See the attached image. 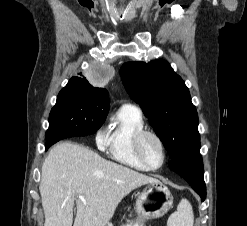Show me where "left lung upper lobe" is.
Returning a JSON list of instances; mask_svg holds the SVG:
<instances>
[{
	"instance_id": "left-lung-upper-lobe-1",
	"label": "left lung upper lobe",
	"mask_w": 247,
	"mask_h": 226,
	"mask_svg": "<svg viewBox=\"0 0 247 226\" xmlns=\"http://www.w3.org/2000/svg\"><path fill=\"white\" fill-rule=\"evenodd\" d=\"M120 75L130 97L138 103L171 160L200 151L198 115L184 81L162 59L128 62Z\"/></svg>"
}]
</instances>
